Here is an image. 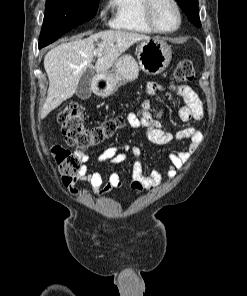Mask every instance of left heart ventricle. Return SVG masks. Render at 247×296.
<instances>
[{"mask_svg": "<svg viewBox=\"0 0 247 296\" xmlns=\"http://www.w3.org/2000/svg\"><path fill=\"white\" fill-rule=\"evenodd\" d=\"M154 16L158 26L163 30L173 29L177 24L175 9L167 0H157Z\"/></svg>", "mask_w": 247, "mask_h": 296, "instance_id": "left-heart-ventricle-1", "label": "left heart ventricle"}]
</instances>
